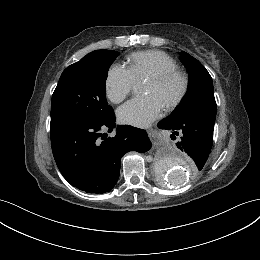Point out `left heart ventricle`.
I'll use <instances>...</instances> for the list:
<instances>
[{"instance_id":"obj_1","label":"left heart ventricle","mask_w":260,"mask_h":260,"mask_svg":"<svg viewBox=\"0 0 260 260\" xmlns=\"http://www.w3.org/2000/svg\"><path fill=\"white\" fill-rule=\"evenodd\" d=\"M181 85L179 78H173L164 84L156 85L147 82L145 85V94L156 96L163 104L171 99L179 90Z\"/></svg>"}]
</instances>
